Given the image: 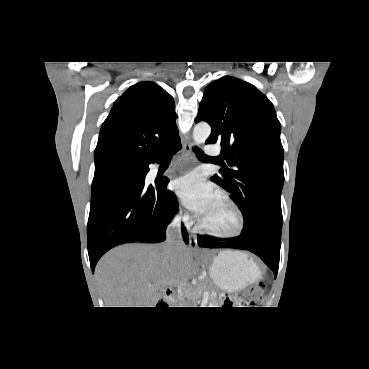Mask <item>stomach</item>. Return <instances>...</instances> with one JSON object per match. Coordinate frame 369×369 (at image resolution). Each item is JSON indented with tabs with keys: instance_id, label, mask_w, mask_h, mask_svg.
I'll return each instance as SVG.
<instances>
[{
	"instance_id": "1",
	"label": "stomach",
	"mask_w": 369,
	"mask_h": 369,
	"mask_svg": "<svg viewBox=\"0 0 369 369\" xmlns=\"http://www.w3.org/2000/svg\"><path fill=\"white\" fill-rule=\"evenodd\" d=\"M210 276L223 291L237 292L260 277L256 264L239 251H222L210 265Z\"/></svg>"
}]
</instances>
